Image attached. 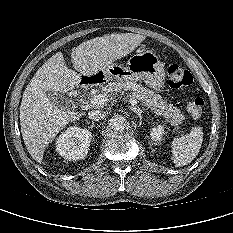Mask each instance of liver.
Listing matches in <instances>:
<instances>
[{"label":"liver","instance_id":"liver-1","mask_svg":"<svg viewBox=\"0 0 233 233\" xmlns=\"http://www.w3.org/2000/svg\"><path fill=\"white\" fill-rule=\"evenodd\" d=\"M145 36L133 33L96 37L79 44L71 53L77 72L66 66L62 52L50 57L27 85L20 106V126L24 144L32 158L41 163L46 147L69 122L81 114L62 109L51 102L47 92L66 93L81 77L98 74L117 59L134 51Z\"/></svg>","mask_w":233,"mask_h":233}]
</instances>
